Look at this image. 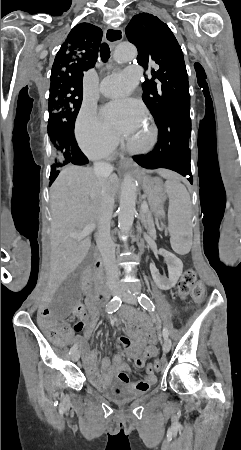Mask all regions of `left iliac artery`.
<instances>
[{"instance_id": "1", "label": "left iliac artery", "mask_w": 241, "mask_h": 450, "mask_svg": "<svg viewBox=\"0 0 241 450\" xmlns=\"http://www.w3.org/2000/svg\"><path fill=\"white\" fill-rule=\"evenodd\" d=\"M138 302L144 309H146L148 311H154V309H155V305L153 304L151 299L144 293L139 294ZM162 333H163L164 339H166L169 334L166 327H163Z\"/></svg>"}]
</instances>
